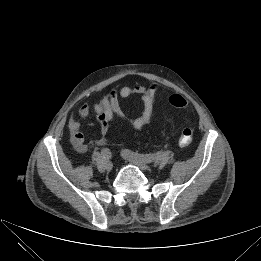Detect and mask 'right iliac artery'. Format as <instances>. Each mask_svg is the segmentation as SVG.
I'll return each instance as SVG.
<instances>
[{"label": "right iliac artery", "instance_id": "obj_1", "mask_svg": "<svg viewBox=\"0 0 261 261\" xmlns=\"http://www.w3.org/2000/svg\"><path fill=\"white\" fill-rule=\"evenodd\" d=\"M112 156L111 151L108 148H103L101 150V157L103 159H110Z\"/></svg>", "mask_w": 261, "mask_h": 261}]
</instances>
